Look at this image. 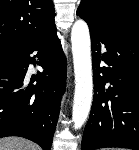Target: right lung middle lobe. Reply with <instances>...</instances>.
Returning a JSON list of instances; mask_svg holds the SVG:
<instances>
[{
  "label": "right lung middle lobe",
  "instance_id": "obj_1",
  "mask_svg": "<svg viewBox=\"0 0 139 150\" xmlns=\"http://www.w3.org/2000/svg\"><path fill=\"white\" fill-rule=\"evenodd\" d=\"M14 50H16V48L7 45H0V55L13 52Z\"/></svg>",
  "mask_w": 139,
  "mask_h": 150
}]
</instances>
